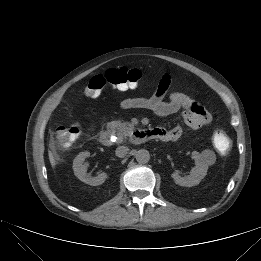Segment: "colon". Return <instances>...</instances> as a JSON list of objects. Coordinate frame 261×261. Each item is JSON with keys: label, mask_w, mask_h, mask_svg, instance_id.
Segmentation results:
<instances>
[{"label": "colon", "mask_w": 261, "mask_h": 261, "mask_svg": "<svg viewBox=\"0 0 261 261\" xmlns=\"http://www.w3.org/2000/svg\"><path fill=\"white\" fill-rule=\"evenodd\" d=\"M142 78V72L136 68H111L102 75H96L87 83L84 94L90 98L98 97L106 85L118 87L122 85H137ZM80 129L76 126H58L54 130L55 141L63 147L72 145L79 137ZM215 149L222 155L232 149V141L222 129H216L212 135Z\"/></svg>", "instance_id": "1"}]
</instances>
